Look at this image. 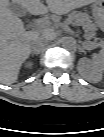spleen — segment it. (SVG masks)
<instances>
[{
  "mask_svg": "<svg viewBox=\"0 0 104 137\" xmlns=\"http://www.w3.org/2000/svg\"><path fill=\"white\" fill-rule=\"evenodd\" d=\"M92 58H93V62L95 64L103 63L102 57L100 55H98V54H94Z\"/></svg>",
  "mask_w": 104,
  "mask_h": 137,
  "instance_id": "1",
  "label": "spleen"
}]
</instances>
